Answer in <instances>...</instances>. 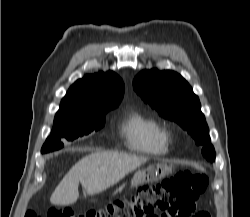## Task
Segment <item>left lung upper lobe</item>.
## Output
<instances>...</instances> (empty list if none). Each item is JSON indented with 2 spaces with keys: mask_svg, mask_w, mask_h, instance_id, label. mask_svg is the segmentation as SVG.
I'll return each mask as SVG.
<instances>
[{
  "mask_svg": "<svg viewBox=\"0 0 250 217\" xmlns=\"http://www.w3.org/2000/svg\"><path fill=\"white\" fill-rule=\"evenodd\" d=\"M133 87L162 117L187 130L195 143L203 146L202 154L208 161L215 160V149L210 142L199 98L181 75L170 70H144L135 77Z\"/></svg>",
  "mask_w": 250,
  "mask_h": 217,
  "instance_id": "5c2ea615",
  "label": "left lung upper lobe"
}]
</instances>
